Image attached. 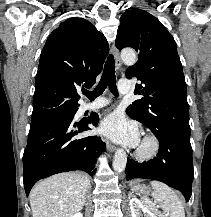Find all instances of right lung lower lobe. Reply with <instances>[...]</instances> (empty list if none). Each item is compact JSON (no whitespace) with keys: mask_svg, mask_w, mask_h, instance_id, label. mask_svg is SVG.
Masks as SVG:
<instances>
[{"mask_svg":"<svg viewBox=\"0 0 211 217\" xmlns=\"http://www.w3.org/2000/svg\"><path fill=\"white\" fill-rule=\"evenodd\" d=\"M98 122L96 113L79 122H31L23 154V182L27 196L38 180L57 173L83 170L91 176L95 174L96 157L105 150V143L97 136L79 139L76 136L90 130L89 124L96 126Z\"/></svg>","mask_w":211,"mask_h":217,"instance_id":"1","label":"right lung lower lobe"}]
</instances>
